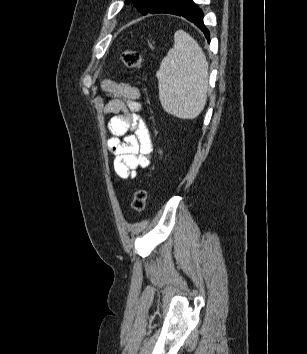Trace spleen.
<instances>
[{"mask_svg": "<svg viewBox=\"0 0 307 354\" xmlns=\"http://www.w3.org/2000/svg\"><path fill=\"white\" fill-rule=\"evenodd\" d=\"M164 110L181 119H194L204 109L208 91V62L198 43L186 32L174 34V46L156 73Z\"/></svg>", "mask_w": 307, "mask_h": 354, "instance_id": "3e777b00", "label": "spleen"}]
</instances>
